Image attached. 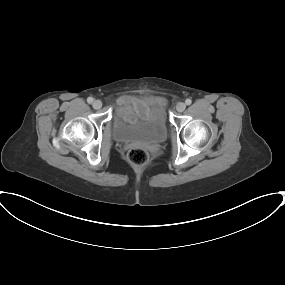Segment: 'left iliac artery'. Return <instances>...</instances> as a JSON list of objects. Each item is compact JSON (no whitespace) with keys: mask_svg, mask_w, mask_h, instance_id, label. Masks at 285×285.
<instances>
[{"mask_svg":"<svg viewBox=\"0 0 285 285\" xmlns=\"http://www.w3.org/2000/svg\"><path fill=\"white\" fill-rule=\"evenodd\" d=\"M185 103H186L187 105H190V104L192 103V101H191L190 99H186V100H185Z\"/></svg>","mask_w":285,"mask_h":285,"instance_id":"left-iliac-artery-1","label":"left iliac artery"}]
</instances>
